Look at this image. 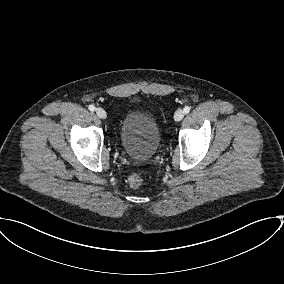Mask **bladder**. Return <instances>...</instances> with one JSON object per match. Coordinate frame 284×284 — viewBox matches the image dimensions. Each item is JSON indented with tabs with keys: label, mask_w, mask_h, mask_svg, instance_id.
<instances>
[{
	"label": "bladder",
	"mask_w": 284,
	"mask_h": 284,
	"mask_svg": "<svg viewBox=\"0 0 284 284\" xmlns=\"http://www.w3.org/2000/svg\"><path fill=\"white\" fill-rule=\"evenodd\" d=\"M119 139L128 156L147 161L156 154L160 145L159 123L148 112L138 109L130 110L121 121Z\"/></svg>",
	"instance_id": "obj_1"
}]
</instances>
